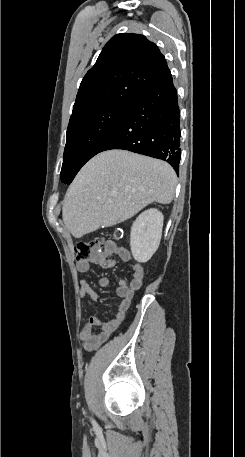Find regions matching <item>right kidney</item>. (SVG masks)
<instances>
[{"instance_id": "ca27d5eb", "label": "right kidney", "mask_w": 245, "mask_h": 457, "mask_svg": "<svg viewBox=\"0 0 245 457\" xmlns=\"http://www.w3.org/2000/svg\"><path fill=\"white\" fill-rule=\"evenodd\" d=\"M164 216L157 208L144 210L131 226V253H156L163 229Z\"/></svg>"}]
</instances>
